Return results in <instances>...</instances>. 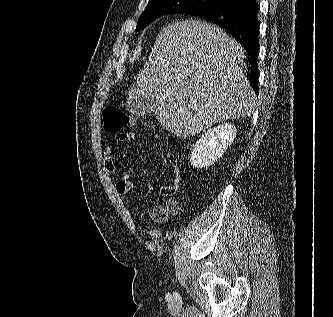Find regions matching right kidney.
<instances>
[{
  "label": "right kidney",
  "mask_w": 333,
  "mask_h": 317,
  "mask_svg": "<svg viewBox=\"0 0 333 317\" xmlns=\"http://www.w3.org/2000/svg\"><path fill=\"white\" fill-rule=\"evenodd\" d=\"M235 136L236 128L229 123L208 129L196 142L190 154L193 167L200 169L213 165L232 144Z\"/></svg>",
  "instance_id": "right-kidney-1"
}]
</instances>
